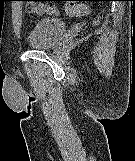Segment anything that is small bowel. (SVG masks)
Segmentation results:
<instances>
[{
    "label": "small bowel",
    "mask_w": 135,
    "mask_h": 161,
    "mask_svg": "<svg viewBox=\"0 0 135 161\" xmlns=\"http://www.w3.org/2000/svg\"><path fill=\"white\" fill-rule=\"evenodd\" d=\"M47 11L52 12V13H55L56 12L55 8H52V7L51 8H48Z\"/></svg>",
    "instance_id": "obj_1"
}]
</instances>
